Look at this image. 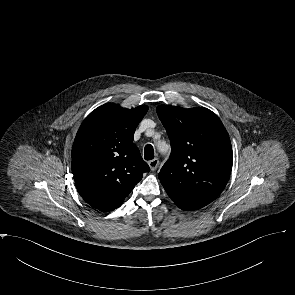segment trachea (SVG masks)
Instances as JSON below:
<instances>
[{"label": "trachea", "mask_w": 295, "mask_h": 295, "mask_svg": "<svg viewBox=\"0 0 295 295\" xmlns=\"http://www.w3.org/2000/svg\"><path fill=\"white\" fill-rule=\"evenodd\" d=\"M144 158L145 160H152L154 158V149L152 145L147 144L144 148Z\"/></svg>", "instance_id": "trachea-1"}]
</instances>
